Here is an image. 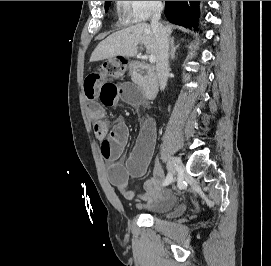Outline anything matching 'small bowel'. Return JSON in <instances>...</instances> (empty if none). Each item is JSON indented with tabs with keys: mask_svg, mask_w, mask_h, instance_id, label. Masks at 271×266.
<instances>
[{
	"mask_svg": "<svg viewBox=\"0 0 271 266\" xmlns=\"http://www.w3.org/2000/svg\"><path fill=\"white\" fill-rule=\"evenodd\" d=\"M84 92L89 100L88 111L95 136L101 142V153L109 162V180L126 199L133 200L136 193L130 188L129 180L143 176L147 170L156 143L154 121L151 118L146 121L129 157L123 162L119 158L127 145L129 128L122 117L117 118L110 127L105 120V107L118 106L120 102L138 107L142 103L139 91L130 82L116 84L98 71L87 75ZM163 177L162 170L156 166L153 176L144 182L139 207L162 209L174 204L172 191L161 186Z\"/></svg>",
	"mask_w": 271,
	"mask_h": 266,
	"instance_id": "obj_1",
	"label": "small bowel"
}]
</instances>
